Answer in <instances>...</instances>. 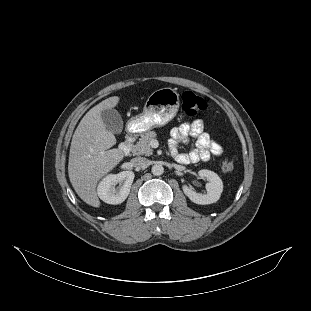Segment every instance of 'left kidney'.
<instances>
[{"label": "left kidney", "instance_id": "left-kidney-1", "mask_svg": "<svg viewBox=\"0 0 311 311\" xmlns=\"http://www.w3.org/2000/svg\"><path fill=\"white\" fill-rule=\"evenodd\" d=\"M200 177H205L208 180L206 184V194L197 193L188 186H183V191L188 198L196 204H211L219 200L223 191V182L221 178L213 171L202 169L198 172Z\"/></svg>", "mask_w": 311, "mask_h": 311}]
</instances>
